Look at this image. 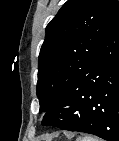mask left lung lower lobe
I'll list each match as a JSON object with an SVG mask.
<instances>
[{
    "instance_id": "0a47b994",
    "label": "left lung lower lobe",
    "mask_w": 119,
    "mask_h": 141,
    "mask_svg": "<svg viewBox=\"0 0 119 141\" xmlns=\"http://www.w3.org/2000/svg\"><path fill=\"white\" fill-rule=\"evenodd\" d=\"M42 124L119 141V15L94 58L45 113Z\"/></svg>"
}]
</instances>
